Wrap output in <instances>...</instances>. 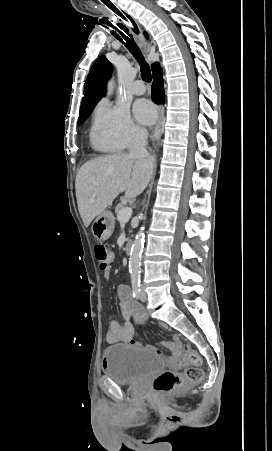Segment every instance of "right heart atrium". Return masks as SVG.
I'll return each mask as SVG.
<instances>
[{
	"label": "right heart atrium",
	"mask_w": 272,
	"mask_h": 451,
	"mask_svg": "<svg viewBox=\"0 0 272 451\" xmlns=\"http://www.w3.org/2000/svg\"><path fill=\"white\" fill-rule=\"evenodd\" d=\"M141 132L125 106L102 101L94 113L93 136L96 141L115 148H126Z\"/></svg>",
	"instance_id": "right-heart-atrium-1"
}]
</instances>
